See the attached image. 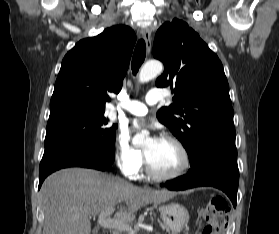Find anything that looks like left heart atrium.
<instances>
[{"label": "left heart atrium", "mask_w": 279, "mask_h": 234, "mask_svg": "<svg viewBox=\"0 0 279 234\" xmlns=\"http://www.w3.org/2000/svg\"><path fill=\"white\" fill-rule=\"evenodd\" d=\"M135 127L136 128H141V125L140 124H136ZM160 139L161 138L159 136L154 135L151 140H152L153 143H157Z\"/></svg>", "instance_id": "1"}]
</instances>
